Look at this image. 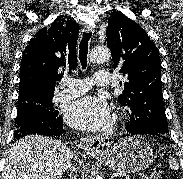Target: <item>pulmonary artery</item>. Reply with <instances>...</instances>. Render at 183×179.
I'll return each instance as SVG.
<instances>
[{
    "label": "pulmonary artery",
    "instance_id": "obj_1",
    "mask_svg": "<svg viewBox=\"0 0 183 179\" xmlns=\"http://www.w3.org/2000/svg\"><path fill=\"white\" fill-rule=\"evenodd\" d=\"M110 83V74L107 71H97L92 78L67 79L65 84L67 88L58 93L57 99L68 100L80 96L87 92L92 85L106 86Z\"/></svg>",
    "mask_w": 183,
    "mask_h": 179
}]
</instances>
